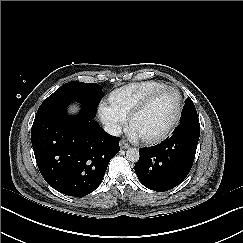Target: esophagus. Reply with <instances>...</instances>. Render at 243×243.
Instances as JSON below:
<instances>
[{
    "mask_svg": "<svg viewBox=\"0 0 243 243\" xmlns=\"http://www.w3.org/2000/svg\"><path fill=\"white\" fill-rule=\"evenodd\" d=\"M130 147V145L128 143H126L124 140L120 141V148L121 149H128Z\"/></svg>",
    "mask_w": 243,
    "mask_h": 243,
    "instance_id": "34e87169",
    "label": "esophagus"
}]
</instances>
